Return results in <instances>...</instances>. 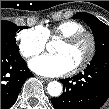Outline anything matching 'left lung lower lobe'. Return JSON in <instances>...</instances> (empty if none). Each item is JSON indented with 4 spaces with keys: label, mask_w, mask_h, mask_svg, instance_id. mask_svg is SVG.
<instances>
[{
    "label": "left lung lower lobe",
    "mask_w": 109,
    "mask_h": 109,
    "mask_svg": "<svg viewBox=\"0 0 109 109\" xmlns=\"http://www.w3.org/2000/svg\"><path fill=\"white\" fill-rule=\"evenodd\" d=\"M60 82L65 91L52 98L55 109H99L109 98V53L95 56L83 73ZM74 88L80 89L79 99L70 101L68 93Z\"/></svg>",
    "instance_id": "1"
}]
</instances>
